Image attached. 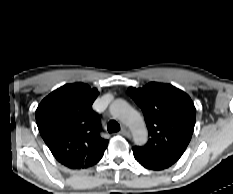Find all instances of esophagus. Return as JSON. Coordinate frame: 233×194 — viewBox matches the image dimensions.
I'll return each instance as SVG.
<instances>
[{
	"label": "esophagus",
	"mask_w": 233,
	"mask_h": 194,
	"mask_svg": "<svg viewBox=\"0 0 233 194\" xmlns=\"http://www.w3.org/2000/svg\"><path fill=\"white\" fill-rule=\"evenodd\" d=\"M120 134L123 135V136H125L126 138H131V133L128 130H126V129H122L120 131Z\"/></svg>",
	"instance_id": "esophagus-1"
}]
</instances>
